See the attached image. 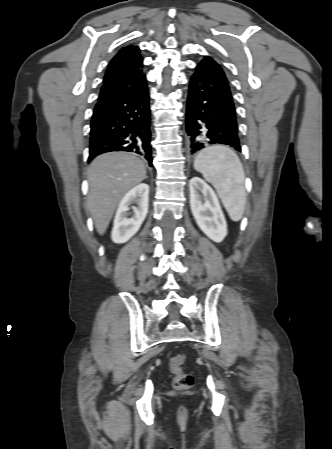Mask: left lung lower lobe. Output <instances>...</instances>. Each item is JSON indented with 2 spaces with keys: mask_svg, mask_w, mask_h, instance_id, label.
I'll return each mask as SVG.
<instances>
[{
  "mask_svg": "<svg viewBox=\"0 0 332 449\" xmlns=\"http://www.w3.org/2000/svg\"><path fill=\"white\" fill-rule=\"evenodd\" d=\"M186 132L190 154L211 144H223L241 152L231 89L222 68L201 61L189 82Z\"/></svg>",
  "mask_w": 332,
  "mask_h": 449,
  "instance_id": "obj_1",
  "label": "left lung lower lobe"
}]
</instances>
